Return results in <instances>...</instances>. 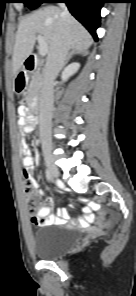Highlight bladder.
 <instances>
[{
    "instance_id": "1",
    "label": "bladder",
    "mask_w": 136,
    "mask_h": 296,
    "mask_svg": "<svg viewBox=\"0 0 136 296\" xmlns=\"http://www.w3.org/2000/svg\"><path fill=\"white\" fill-rule=\"evenodd\" d=\"M78 233L66 226H43L32 233L31 244L36 256L43 260H55L75 247Z\"/></svg>"
}]
</instances>
